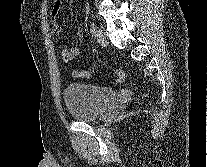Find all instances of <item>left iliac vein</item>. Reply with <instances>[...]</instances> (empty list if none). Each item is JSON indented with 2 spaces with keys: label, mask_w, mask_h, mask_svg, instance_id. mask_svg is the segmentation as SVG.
Segmentation results:
<instances>
[{
  "label": "left iliac vein",
  "mask_w": 207,
  "mask_h": 167,
  "mask_svg": "<svg viewBox=\"0 0 207 167\" xmlns=\"http://www.w3.org/2000/svg\"><path fill=\"white\" fill-rule=\"evenodd\" d=\"M97 41L100 45L106 46L108 45V39L105 35V32L102 29H98L96 32Z\"/></svg>",
  "instance_id": "left-iliac-vein-1"
}]
</instances>
